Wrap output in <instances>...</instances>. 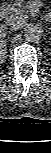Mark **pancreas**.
<instances>
[{"mask_svg":"<svg viewBox=\"0 0 51 153\" xmlns=\"http://www.w3.org/2000/svg\"><path fill=\"white\" fill-rule=\"evenodd\" d=\"M8 11L11 16H22L27 17L28 10L23 0H18L14 4H10L8 6Z\"/></svg>","mask_w":51,"mask_h":153,"instance_id":"obj_1","label":"pancreas"}]
</instances>
